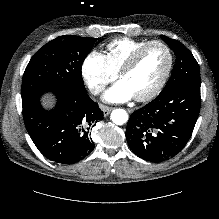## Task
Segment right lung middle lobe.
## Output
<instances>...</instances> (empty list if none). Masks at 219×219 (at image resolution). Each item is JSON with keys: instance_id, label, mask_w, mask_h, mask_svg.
<instances>
[{"instance_id": "obj_1", "label": "right lung middle lobe", "mask_w": 219, "mask_h": 219, "mask_svg": "<svg viewBox=\"0 0 219 219\" xmlns=\"http://www.w3.org/2000/svg\"><path fill=\"white\" fill-rule=\"evenodd\" d=\"M96 43L97 38L60 36L44 45L26 67L22 98L60 88L86 93L81 66Z\"/></svg>"}]
</instances>
